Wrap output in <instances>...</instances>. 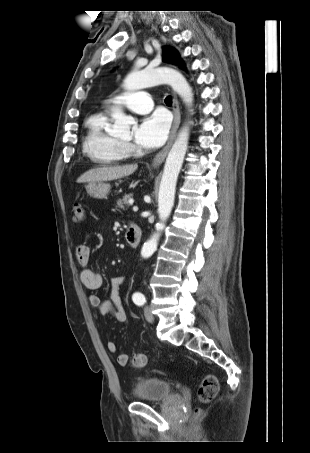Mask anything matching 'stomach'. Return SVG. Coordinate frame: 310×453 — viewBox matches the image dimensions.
<instances>
[{
	"label": "stomach",
	"instance_id": "stomach-1",
	"mask_svg": "<svg viewBox=\"0 0 310 453\" xmlns=\"http://www.w3.org/2000/svg\"><path fill=\"white\" fill-rule=\"evenodd\" d=\"M110 185L104 182L89 183L86 187L87 193L94 198H105L109 193Z\"/></svg>",
	"mask_w": 310,
	"mask_h": 453
}]
</instances>
